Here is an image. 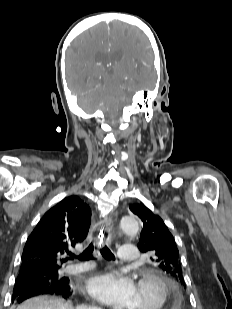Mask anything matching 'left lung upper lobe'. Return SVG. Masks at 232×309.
<instances>
[{
	"label": "left lung upper lobe",
	"instance_id": "obj_1",
	"mask_svg": "<svg viewBox=\"0 0 232 309\" xmlns=\"http://www.w3.org/2000/svg\"><path fill=\"white\" fill-rule=\"evenodd\" d=\"M130 210L143 222L139 250L148 254L151 261L169 277L184 283L179 251L163 220L141 204L130 205Z\"/></svg>",
	"mask_w": 232,
	"mask_h": 309
}]
</instances>
